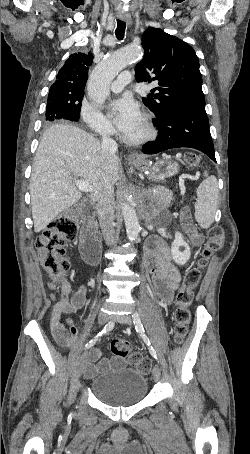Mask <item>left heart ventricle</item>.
Wrapping results in <instances>:
<instances>
[{"label":"left heart ventricle","instance_id":"obj_1","mask_svg":"<svg viewBox=\"0 0 250 454\" xmlns=\"http://www.w3.org/2000/svg\"><path fill=\"white\" fill-rule=\"evenodd\" d=\"M144 132H145V129L143 126L142 119L140 118L138 120V122L130 130H128L127 132L124 133V135H126L127 137H130V138H137V137L142 136L144 134Z\"/></svg>","mask_w":250,"mask_h":454}]
</instances>
